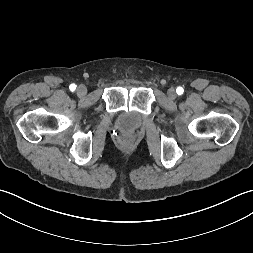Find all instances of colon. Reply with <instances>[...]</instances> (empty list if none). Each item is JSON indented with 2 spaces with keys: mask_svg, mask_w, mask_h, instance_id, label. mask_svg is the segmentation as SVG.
Instances as JSON below:
<instances>
[{
  "mask_svg": "<svg viewBox=\"0 0 253 253\" xmlns=\"http://www.w3.org/2000/svg\"><path fill=\"white\" fill-rule=\"evenodd\" d=\"M124 142L126 144H130L132 142V138L131 137H127V138H125Z\"/></svg>",
  "mask_w": 253,
  "mask_h": 253,
  "instance_id": "colon-1",
  "label": "colon"
}]
</instances>
